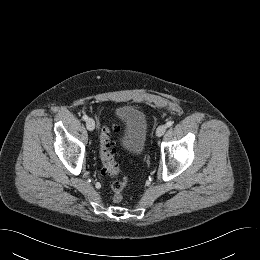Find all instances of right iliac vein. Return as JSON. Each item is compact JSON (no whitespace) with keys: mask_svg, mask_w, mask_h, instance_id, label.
I'll use <instances>...</instances> for the list:
<instances>
[{"mask_svg":"<svg viewBox=\"0 0 260 260\" xmlns=\"http://www.w3.org/2000/svg\"><path fill=\"white\" fill-rule=\"evenodd\" d=\"M86 127L89 131H93L95 128V122L92 118L87 119L86 121Z\"/></svg>","mask_w":260,"mask_h":260,"instance_id":"obj_1","label":"right iliac vein"}]
</instances>
